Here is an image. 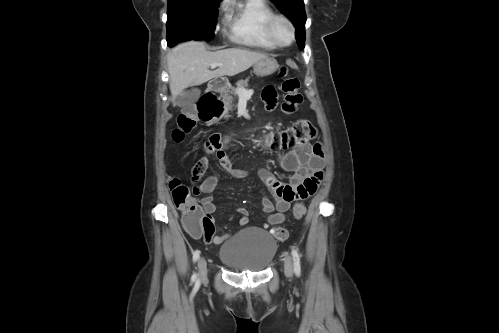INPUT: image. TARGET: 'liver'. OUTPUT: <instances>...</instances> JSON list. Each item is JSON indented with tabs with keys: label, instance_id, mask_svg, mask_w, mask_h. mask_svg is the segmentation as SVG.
I'll use <instances>...</instances> for the list:
<instances>
[{
	"label": "liver",
	"instance_id": "6515ba94",
	"mask_svg": "<svg viewBox=\"0 0 499 333\" xmlns=\"http://www.w3.org/2000/svg\"><path fill=\"white\" fill-rule=\"evenodd\" d=\"M168 70L172 101L189 86H197L213 78L234 76L249 69L257 61L268 58L265 53L242 48L207 51L203 42L188 41L178 44L168 53ZM212 63H221L209 70Z\"/></svg>",
	"mask_w": 499,
	"mask_h": 333
}]
</instances>
